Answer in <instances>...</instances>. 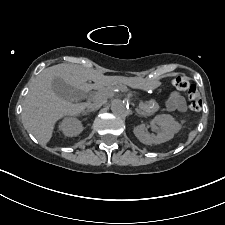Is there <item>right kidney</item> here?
<instances>
[{
	"label": "right kidney",
	"mask_w": 225,
	"mask_h": 225,
	"mask_svg": "<svg viewBox=\"0 0 225 225\" xmlns=\"http://www.w3.org/2000/svg\"><path fill=\"white\" fill-rule=\"evenodd\" d=\"M59 130L65 136L73 137L79 135L83 131V126L80 120L75 117L65 118L58 126Z\"/></svg>",
	"instance_id": "right-kidney-1"
}]
</instances>
